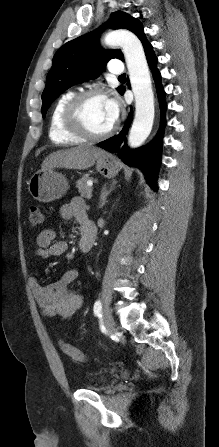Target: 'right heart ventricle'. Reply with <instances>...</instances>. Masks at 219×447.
<instances>
[{
  "label": "right heart ventricle",
  "mask_w": 219,
  "mask_h": 447,
  "mask_svg": "<svg viewBox=\"0 0 219 447\" xmlns=\"http://www.w3.org/2000/svg\"><path fill=\"white\" fill-rule=\"evenodd\" d=\"M74 96L73 92L62 95L54 104L50 117L48 135L50 140L58 145H71L82 143L85 139L70 132L63 123L62 114L68 101Z\"/></svg>",
  "instance_id": "e07e8e85"
}]
</instances>
